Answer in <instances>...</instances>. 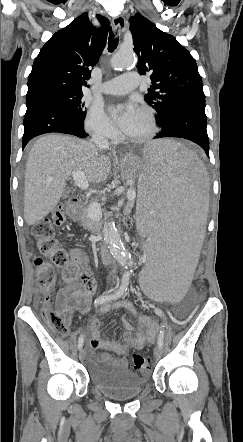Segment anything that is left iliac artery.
Masks as SVG:
<instances>
[{
  "mask_svg": "<svg viewBox=\"0 0 243 442\" xmlns=\"http://www.w3.org/2000/svg\"><path fill=\"white\" fill-rule=\"evenodd\" d=\"M154 312H155V314L158 315L159 317H161V318L164 317V313L162 312L161 309L156 308V309L154 310ZM164 327H165V324H164V322H163L162 329L160 330L159 335H158V339H157V344H158V347H159V348H162V346H163V340H164Z\"/></svg>",
  "mask_w": 243,
  "mask_h": 442,
  "instance_id": "left-iliac-artery-1",
  "label": "left iliac artery"
}]
</instances>
